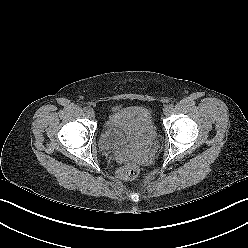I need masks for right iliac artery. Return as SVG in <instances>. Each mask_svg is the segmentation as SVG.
<instances>
[{
	"label": "right iliac artery",
	"instance_id": "right-iliac-artery-1",
	"mask_svg": "<svg viewBox=\"0 0 248 248\" xmlns=\"http://www.w3.org/2000/svg\"><path fill=\"white\" fill-rule=\"evenodd\" d=\"M83 110H84L85 112H87L88 108H87V107H84Z\"/></svg>",
	"mask_w": 248,
	"mask_h": 248
}]
</instances>
